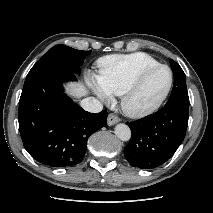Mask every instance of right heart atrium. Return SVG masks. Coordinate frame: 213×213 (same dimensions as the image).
<instances>
[{
	"label": "right heart atrium",
	"mask_w": 213,
	"mask_h": 213,
	"mask_svg": "<svg viewBox=\"0 0 213 213\" xmlns=\"http://www.w3.org/2000/svg\"><path fill=\"white\" fill-rule=\"evenodd\" d=\"M90 82L94 91L100 98H102L105 101H108L110 99L111 95L104 90V88L102 87L100 83L99 77L95 75H91Z\"/></svg>",
	"instance_id": "right-heart-atrium-1"
}]
</instances>
